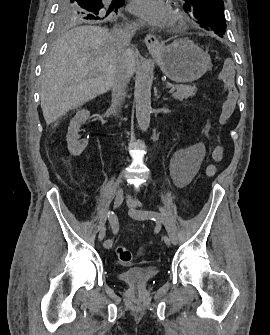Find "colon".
<instances>
[{"label":"colon","instance_id":"1","mask_svg":"<svg viewBox=\"0 0 270 335\" xmlns=\"http://www.w3.org/2000/svg\"><path fill=\"white\" fill-rule=\"evenodd\" d=\"M235 63L234 57H222L221 68V84L223 89H234L235 83L233 79ZM219 108L222 112L218 113L219 119H230L233 116V109L236 108V103L233 97H224L223 102L219 103ZM214 155H225V148H214ZM215 163H226V156H215ZM116 256L120 263L128 264L132 260L131 251L125 246H117Z\"/></svg>","mask_w":270,"mask_h":335}]
</instances>
